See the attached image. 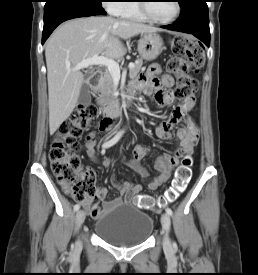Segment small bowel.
<instances>
[{
	"label": "small bowel",
	"instance_id": "obj_1",
	"mask_svg": "<svg viewBox=\"0 0 258 275\" xmlns=\"http://www.w3.org/2000/svg\"><path fill=\"white\" fill-rule=\"evenodd\" d=\"M161 73V67L159 64L151 65L143 76L134 80L130 88L142 89L145 95H149L156 92L157 101L162 106H168L172 103V96L169 91L173 86L174 79L170 75H163L159 80L158 75ZM195 103V98L191 97L185 100L182 104L174 108L169 118L156 126L155 133L160 139H170V129L172 126L180 121H183L184 126L177 131V137L181 141V146L174 153H163L156 159L155 168L159 172L148 185L150 190H155L159 186L165 184L171 176L173 168L179 163L180 158L190 155L198 141V128L194 121L190 118L188 113L192 109ZM110 124L106 127H98V131H104L109 128ZM96 137L95 132H90L86 140V152L88 157L93 162H100L103 166L108 167L110 165V159L104 158L101 161L98 159L96 152ZM149 154V149L136 145L134 148V160L127 161V165L134 169L143 180L148 178L147 169L142 166L139 161ZM91 170V169H90ZM142 186L140 184H132L124 181L121 187V192L126 202L132 201L141 191ZM107 195V189L103 186H98L96 189V198L98 200L105 199ZM122 198H116L104 203L103 209L100 208L97 201L92 198L87 199L82 203L84 209L90 213L93 218H100L103 214L114 209L116 206L122 203Z\"/></svg>",
	"mask_w": 258,
	"mask_h": 275
}]
</instances>
